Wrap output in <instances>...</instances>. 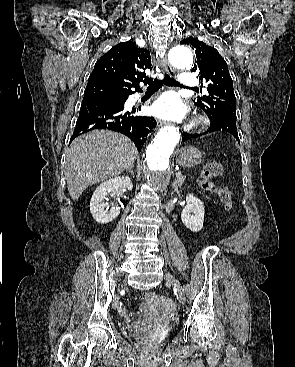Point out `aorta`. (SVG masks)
I'll use <instances>...</instances> for the list:
<instances>
[{
  "mask_svg": "<svg viewBox=\"0 0 295 367\" xmlns=\"http://www.w3.org/2000/svg\"><path fill=\"white\" fill-rule=\"evenodd\" d=\"M170 63L177 68H191L193 56L191 51L183 46H176L169 52ZM179 129L165 126L156 134L153 142L146 150V177L151 184L167 175L169 157L180 140Z\"/></svg>",
  "mask_w": 295,
  "mask_h": 367,
  "instance_id": "1",
  "label": "aorta"
}]
</instances>
